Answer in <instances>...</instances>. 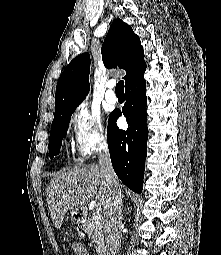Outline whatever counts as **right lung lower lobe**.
Instances as JSON below:
<instances>
[{
    "instance_id": "right-lung-lower-lobe-1",
    "label": "right lung lower lobe",
    "mask_w": 221,
    "mask_h": 255,
    "mask_svg": "<svg viewBox=\"0 0 221 255\" xmlns=\"http://www.w3.org/2000/svg\"><path fill=\"white\" fill-rule=\"evenodd\" d=\"M146 65L125 85L126 103L122 112L109 118L107 141L112 166L121 181L134 192H141L147 153V97L144 72ZM126 117L127 130H120L116 121Z\"/></svg>"
}]
</instances>
